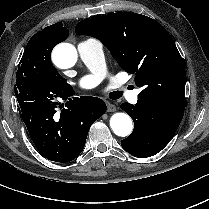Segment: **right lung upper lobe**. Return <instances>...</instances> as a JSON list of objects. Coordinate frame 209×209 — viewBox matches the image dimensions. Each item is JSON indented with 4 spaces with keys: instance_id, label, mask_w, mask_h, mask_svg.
<instances>
[{
    "instance_id": "1",
    "label": "right lung upper lobe",
    "mask_w": 209,
    "mask_h": 209,
    "mask_svg": "<svg viewBox=\"0 0 209 209\" xmlns=\"http://www.w3.org/2000/svg\"><path fill=\"white\" fill-rule=\"evenodd\" d=\"M43 32H49L48 38L52 40L55 43V45L64 41L69 35L68 29L63 27L62 23L60 22L48 26L38 33H43Z\"/></svg>"
}]
</instances>
